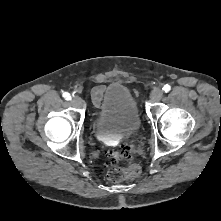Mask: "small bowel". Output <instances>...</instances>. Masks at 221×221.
<instances>
[{"label": "small bowel", "instance_id": "small-bowel-1", "mask_svg": "<svg viewBox=\"0 0 221 221\" xmlns=\"http://www.w3.org/2000/svg\"><path fill=\"white\" fill-rule=\"evenodd\" d=\"M104 91H105V86L98 85V86L94 87L91 92L92 102L96 108H98L100 106Z\"/></svg>", "mask_w": 221, "mask_h": 221}]
</instances>
